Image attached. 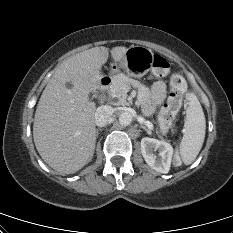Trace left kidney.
Returning <instances> with one entry per match:
<instances>
[{
	"instance_id": "left-kidney-1",
	"label": "left kidney",
	"mask_w": 233,
	"mask_h": 233,
	"mask_svg": "<svg viewBox=\"0 0 233 233\" xmlns=\"http://www.w3.org/2000/svg\"><path fill=\"white\" fill-rule=\"evenodd\" d=\"M141 153L152 169L164 174L169 172L173 156V148L169 143L145 137L141 140Z\"/></svg>"
}]
</instances>
